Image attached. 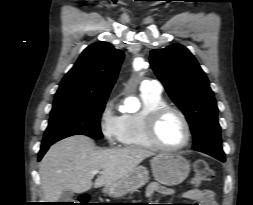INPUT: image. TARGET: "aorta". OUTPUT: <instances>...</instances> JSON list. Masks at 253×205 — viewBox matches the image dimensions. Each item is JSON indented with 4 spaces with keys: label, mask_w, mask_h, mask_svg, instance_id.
Wrapping results in <instances>:
<instances>
[{
    "label": "aorta",
    "mask_w": 253,
    "mask_h": 205,
    "mask_svg": "<svg viewBox=\"0 0 253 205\" xmlns=\"http://www.w3.org/2000/svg\"><path fill=\"white\" fill-rule=\"evenodd\" d=\"M143 66H144L143 60H141V59L135 60V62H134L135 70H140L141 68H143Z\"/></svg>",
    "instance_id": "aorta-1"
}]
</instances>
